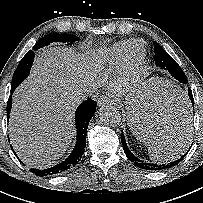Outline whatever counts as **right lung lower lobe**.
<instances>
[{
  "label": "right lung lower lobe",
  "mask_w": 203,
  "mask_h": 203,
  "mask_svg": "<svg viewBox=\"0 0 203 203\" xmlns=\"http://www.w3.org/2000/svg\"><path fill=\"white\" fill-rule=\"evenodd\" d=\"M26 61L33 62L34 52L30 50L24 56ZM15 88L11 87V93H13ZM12 106V96L9 97L7 102V113L8 118L11 111ZM96 110V102L93 100L84 101L78 108L75 114V122L77 128V141L74 150L69 155V157L60 164H57L51 168L40 170V169H30V171L37 176H50L62 173L72 167H74L81 159L86 146V133L88 124L93 117Z\"/></svg>",
  "instance_id": "obj_1"
}]
</instances>
